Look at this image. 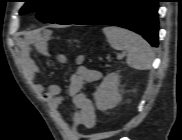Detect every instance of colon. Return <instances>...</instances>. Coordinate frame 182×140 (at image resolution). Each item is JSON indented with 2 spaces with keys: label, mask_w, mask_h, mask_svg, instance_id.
I'll list each match as a JSON object with an SVG mask.
<instances>
[{
  "label": "colon",
  "mask_w": 182,
  "mask_h": 140,
  "mask_svg": "<svg viewBox=\"0 0 182 140\" xmlns=\"http://www.w3.org/2000/svg\"><path fill=\"white\" fill-rule=\"evenodd\" d=\"M87 140H95L92 136H90Z\"/></svg>",
  "instance_id": "obj_1"
}]
</instances>
